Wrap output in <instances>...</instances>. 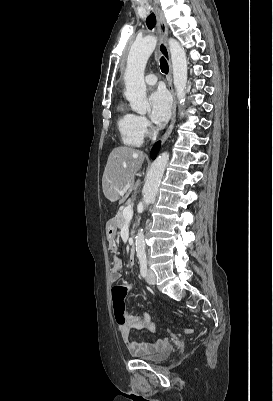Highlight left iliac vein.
I'll return each instance as SVG.
<instances>
[{
    "mask_svg": "<svg viewBox=\"0 0 273 401\" xmlns=\"http://www.w3.org/2000/svg\"><path fill=\"white\" fill-rule=\"evenodd\" d=\"M146 281L151 285H155L156 277H155V273L152 270L147 271Z\"/></svg>",
    "mask_w": 273,
    "mask_h": 401,
    "instance_id": "4c4485c4",
    "label": "left iliac vein"
}]
</instances>
